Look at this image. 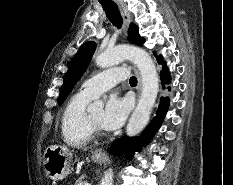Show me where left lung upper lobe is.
I'll return each mask as SVG.
<instances>
[{
  "mask_svg": "<svg viewBox=\"0 0 233 185\" xmlns=\"http://www.w3.org/2000/svg\"><path fill=\"white\" fill-rule=\"evenodd\" d=\"M129 41L136 45H142L145 42V39L139 36L138 28L134 24L130 25ZM95 48V42H86L80 47L77 54L71 60L58 99L59 105L63 103L68 94L71 92L74 85L77 83V81L80 79V77L88 67Z\"/></svg>",
  "mask_w": 233,
  "mask_h": 185,
  "instance_id": "1",
  "label": "left lung upper lobe"
}]
</instances>
